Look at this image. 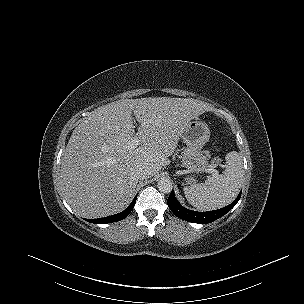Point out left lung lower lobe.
<instances>
[{"label": "left lung lower lobe", "instance_id": "obj_1", "mask_svg": "<svg viewBox=\"0 0 304 304\" xmlns=\"http://www.w3.org/2000/svg\"><path fill=\"white\" fill-rule=\"evenodd\" d=\"M242 192V191H241ZM241 192L237 196V198L228 206L214 210V211H208V212H196V211H191L179 204L177 199L175 198L174 191L172 190L168 200L167 204L171 211L179 218L193 222V223H198V224H207L211 223L218 218L222 217L225 215L227 212H229L239 201L241 197Z\"/></svg>", "mask_w": 304, "mask_h": 304}]
</instances>
